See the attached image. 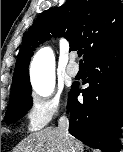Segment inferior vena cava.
Segmentation results:
<instances>
[{"label": "inferior vena cava", "mask_w": 123, "mask_h": 152, "mask_svg": "<svg viewBox=\"0 0 123 152\" xmlns=\"http://www.w3.org/2000/svg\"><path fill=\"white\" fill-rule=\"evenodd\" d=\"M58 129L61 131V133L64 135V137L68 140L70 137L69 134V120L66 116H61L58 121ZM74 152V150H73Z\"/></svg>", "instance_id": "obj_1"}]
</instances>
